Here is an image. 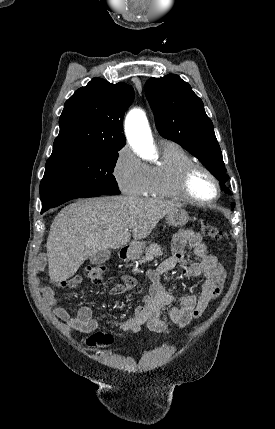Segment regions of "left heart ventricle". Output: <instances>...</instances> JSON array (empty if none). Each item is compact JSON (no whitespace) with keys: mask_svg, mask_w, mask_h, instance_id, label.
<instances>
[{"mask_svg":"<svg viewBox=\"0 0 275 429\" xmlns=\"http://www.w3.org/2000/svg\"><path fill=\"white\" fill-rule=\"evenodd\" d=\"M193 195L201 200L213 198L216 194V187L212 179L204 172L197 171L190 183Z\"/></svg>","mask_w":275,"mask_h":429,"instance_id":"b2bd125f","label":"left heart ventricle"}]
</instances>
